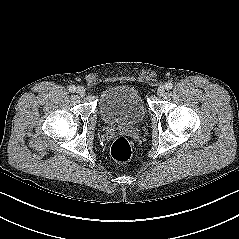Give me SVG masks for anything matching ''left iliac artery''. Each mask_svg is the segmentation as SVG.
<instances>
[{"instance_id": "1", "label": "left iliac artery", "mask_w": 239, "mask_h": 239, "mask_svg": "<svg viewBox=\"0 0 239 239\" xmlns=\"http://www.w3.org/2000/svg\"><path fill=\"white\" fill-rule=\"evenodd\" d=\"M172 87H173V84H172L171 82H167V83L165 84V88H166L167 90L172 89Z\"/></svg>"}]
</instances>
